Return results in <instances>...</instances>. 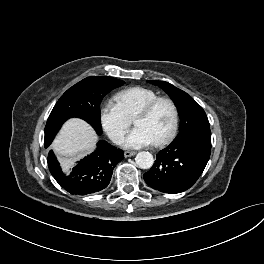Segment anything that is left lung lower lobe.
<instances>
[{"label": "left lung lower lobe", "mask_w": 264, "mask_h": 264, "mask_svg": "<svg viewBox=\"0 0 264 264\" xmlns=\"http://www.w3.org/2000/svg\"><path fill=\"white\" fill-rule=\"evenodd\" d=\"M211 153V131L200 130L174 139L157 154L145 182L155 190L180 193L189 189L202 174Z\"/></svg>", "instance_id": "left-lung-lower-lobe-1"}]
</instances>
